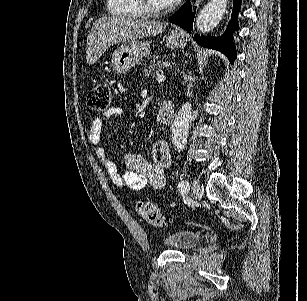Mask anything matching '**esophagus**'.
I'll use <instances>...</instances> for the list:
<instances>
[{
    "instance_id": "1",
    "label": "esophagus",
    "mask_w": 307,
    "mask_h": 301,
    "mask_svg": "<svg viewBox=\"0 0 307 301\" xmlns=\"http://www.w3.org/2000/svg\"><path fill=\"white\" fill-rule=\"evenodd\" d=\"M202 0H194V6H198ZM173 33H178L177 30H173Z\"/></svg>"
}]
</instances>
